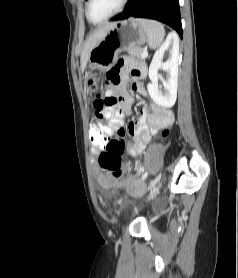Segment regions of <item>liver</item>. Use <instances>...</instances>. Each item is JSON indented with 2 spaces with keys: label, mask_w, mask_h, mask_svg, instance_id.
Returning <instances> with one entry per match:
<instances>
[{
  "label": "liver",
  "mask_w": 238,
  "mask_h": 278,
  "mask_svg": "<svg viewBox=\"0 0 238 278\" xmlns=\"http://www.w3.org/2000/svg\"><path fill=\"white\" fill-rule=\"evenodd\" d=\"M114 25V23H108L104 26L99 27L93 32L92 35L87 39L84 49L81 54V71L83 72L86 68L89 60V55L92 48L106 35L107 31Z\"/></svg>",
  "instance_id": "liver-1"
}]
</instances>
